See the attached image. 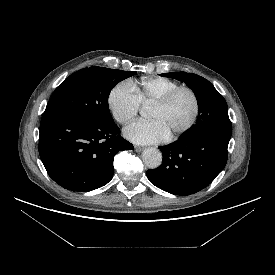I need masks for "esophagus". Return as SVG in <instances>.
<instances>
[{
  "label": "esophagus",
  "mask_w": 275,
  "mask_h": 275,
  "mask_svg": "<svg viewBox=\"0 0 275 275\" xmlns=\"http://www.w3.org/2000/svg\"><path fill=\"white\" fill-rule=\"evenodd\" d=\"M134 149H135L136 152H141L143 150V147L134 146Z\"/></svg>",
  "instance_id": "esophagus-1"
}]
</instances>
